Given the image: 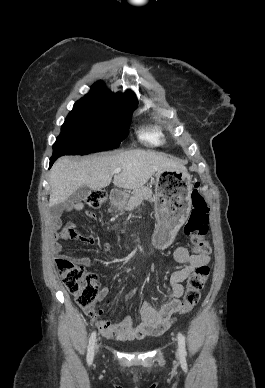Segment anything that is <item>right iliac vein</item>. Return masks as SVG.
<instances>
[{
  "instance_id": "1",
  "label": "right iliac vein",
  "mask_w": 265,
  "mask_h": 388,
  "mask_svg": "<svg viewBox=\"0 0 265 388\" xmlns=\"http://www.w3.org/2000/svg\"><path fill=\"white\" fill-rule=\"evenodd\" d=\"M97 348H98V347H97V344H96V345H95V349H96V351H97Z\"/></svg>"
}]
</instances>
